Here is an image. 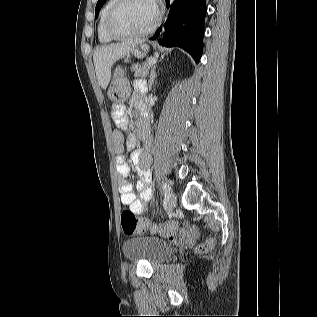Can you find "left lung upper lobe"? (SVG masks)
<instances>
[{"instance_id":"5c2ea615","label":"left lung upper lobe","mask_w":317,"mask_h":317,"mask_svg":"<svg viewBox=\"0 0 317 317\" xmlns=\"http://www.w3.org/2000/svg\"><path fill=\"white\" fill-rule=\"evenodd\" d=\"M107 0H98L96 8H95V16L98 15L99 10L101 9V7L103 6V4L106 2Z\"/></svg>"}]
</instances>
